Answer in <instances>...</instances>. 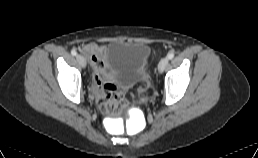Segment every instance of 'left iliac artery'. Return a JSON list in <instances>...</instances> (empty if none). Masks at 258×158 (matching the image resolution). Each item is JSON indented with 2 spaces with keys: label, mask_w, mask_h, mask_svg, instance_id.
<instances>
[{
  "label": "left iliac artery",
  "mask_w": 258,
  "mask_h": 158,
  "mask_svg": "<svg viewBox=\"0 0 258 158\" xmlns=\"http://www.w3.org/2000/svg\"><path fill=\"white\" fill-rule=\"evenodd\" d=\"M174 52H169L168 53V55H167V58L169 59V60H171V59H173L174 58Z\"/></svg>",
  "instance_id": "obj_1"
}]
</instances>
